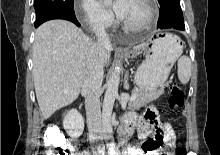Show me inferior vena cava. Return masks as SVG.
<instances>
[{"label": "inferior vena cava", "mask_w": 220, "mask_h": 155, "mask_svg": "<svg viewBox=\"0 0 220 155\" xmlns=\"http://www.w3.org/2000/svg\"><path fill=\"white\" fill-rule=\"evenodd\" d=\"M93 31L96 34L97 42L91 49L92 56L86 69L81 92L85 97L89 135L91 138L98 139L102 134L100 96L104 73V54L111 44L104 25L95 24Z\"/></svg>", "instance_id": "1"}]
</instances>
